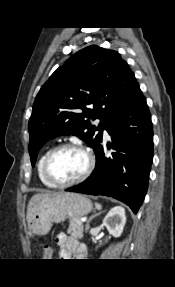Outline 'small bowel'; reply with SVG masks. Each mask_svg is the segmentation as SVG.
<instances>
[{"label": "small bowel", "mask_w": 175, "mask_h": 287, "mask_svg": "<svg viewBox=\"0 0 175 287\" xmlns=\"http://www.w3.org/2000/svg\"><path fill=\"white\" fill-rule=\"evenodd\" d=\"M55 241L60 248L59 256L62 259H84L87 255V248L85 245L80 244L77 239L68 237L60 233L56 236Z\"/></svg>", "instance_id": "small-bowel-1"}]
</instances>
